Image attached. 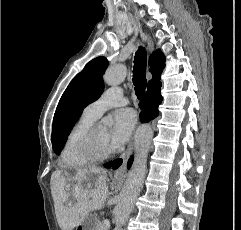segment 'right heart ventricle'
I'll list each match as a JSON object with an SVG mask.
<instances>
[{"mask_svg": "<svg viewBox=\"0 0 241 230\" xmlns=\"http://www.w3.org/2000/svg\"><path fill=\"white\" fill-rule=\"evenodd\" d=\"M97 118L85 111L69 130L61 152V163L65 167H79L90 163L79 152V143L84 133L94 124Z\"/></svg>", "mask_w": 241, "mask_h": 230, "instance_id": "1", "label": "right heart ventricle"}]
</instances>
